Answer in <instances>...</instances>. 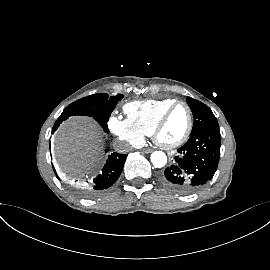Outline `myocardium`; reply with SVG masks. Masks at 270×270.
Returning <instances> with one entry per match:
<instances>
[{
	"label": "myocardium",
	"instance_id": "1",
	"mask_svg": "<svg viewBox=\"0 0 270 270\" xmlns=\"http://www.w3.org/2000/svg\"><path fill=\"white\" fill-rule=\"evenodd\" d=\"M178 106H184L187 109V112H188L187 128H186L184 134L179 139H177L173 142H165V141L161 140V138H160L161 130L163 129L171 112ZM192 129H193V112H192L191 107L189 106L188 103H186L184 101H176L173 104H171L157 120V122L154 126V129H153V132H152V138H153L154 143L158 147L165 149V150H172V149L180 147L181 145H183L187 141V139L189 138V136L192 132Z\"/></svg>",
	"mask_w": 270,
	"mask_h": 270
}]
</instances>
